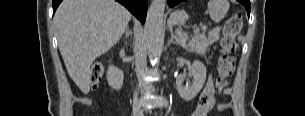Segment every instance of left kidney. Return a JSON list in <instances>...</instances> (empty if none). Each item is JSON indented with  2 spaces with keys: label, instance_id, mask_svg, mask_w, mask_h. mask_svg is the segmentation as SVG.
I'll return each instance as SVG.
<instances>
[{
  "label": "left kidney",
  "instance_id": "left-kidney-1",
  "mask_svg": "<svg viewBox=\"0 0 305 116\" xmlns=\"http://www.w3.org/2000/svg\"><path fill=\"white\" fill-rule=\"evenodd\" d=\"M206 73L207 70L204 64L199 60H195L192 64V67L188 71V74L193 77L192 85H183L185 73L179 75L176 79L177 91L180 97L186 101H190L195 98L204 86L206 81Z\"/></svg>",
  "mask_w": 305,
  "mask_h": 116
}]
</instances>
